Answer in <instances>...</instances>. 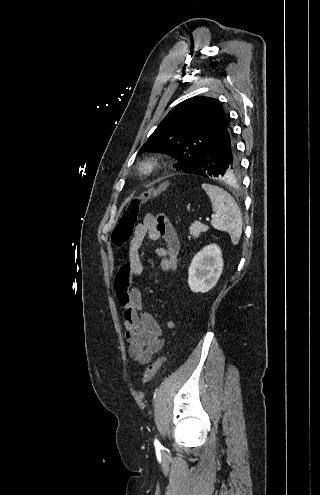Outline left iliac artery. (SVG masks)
Instances as JSON below:
<instances>
[{
    "mask_svg": "<svg viewBox=\"0 0 320 495\" xmlns=\"http://www.w3.org/2000/svg\"><path fill=\"white\" fill-rule=\"evenodd\" d=\"M154 445H155L156 448H161V444H160V442L157 439H155Z\"/></svg>",
    "mask_w": 320,
    "mask_h": 495,
    "instance_id": "44dca946",
    "label": "left iliac artery"
}]
</instances>
